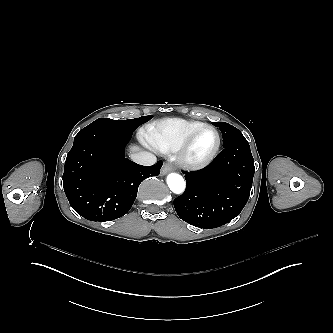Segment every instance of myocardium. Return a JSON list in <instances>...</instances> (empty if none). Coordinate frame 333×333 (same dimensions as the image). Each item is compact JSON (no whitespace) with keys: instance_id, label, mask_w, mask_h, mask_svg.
Segmentation results:
<instances>
[{"instance_id":"myocardium-1","label":"myocardium","mask_w":333,"mask_h":333,"mask_svg":"<svg viewBox=\"0 0 333 333\" xmlns=\"http://www.w3.org/2000/svg\"><path fill=\"white\" fill-rule=\"evenodd\" d=\"M205 128H210L215 132L216 137H217L216 146L208 157H206L202 160H194L189 156L190 144H191L193 138L201 130H203ZM220 148H221V135H220V132L218 131V129L211 124H203V125L195 128L191 132H189L184 137V139L182 140V142L177 150V162H178L179 166H181L184 169L200 170V169L206 168L215 160L216 156L219 153Z\"/></svg>"}]
</instances>
